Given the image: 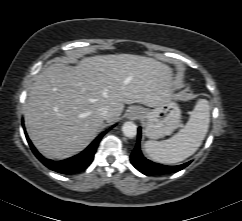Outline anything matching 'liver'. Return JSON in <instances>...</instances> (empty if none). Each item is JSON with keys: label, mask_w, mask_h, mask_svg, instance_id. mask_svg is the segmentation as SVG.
<instances>
[{"label": "liver", "mask_w": 242, "mask_h": 221, "mask_svg": "<svg viewBox=\"0 0 242 221\" xmlns=\"http://www.w3.org/2000/svg\"><path fill=\"white\" fill-rule=\"evenodd\" d=\"M173 71L133 54L84 57L77 66L54 63L37 75L24 107L29 138L45 157L62 160L81 152L104 126L99 109L115 122L124 104L157 107L175 98Z\"/></svg>", "instance_id": "obj_1"}]
</instances>
